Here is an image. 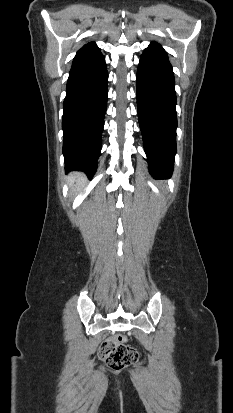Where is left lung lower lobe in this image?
Returning <instances> with one entry per match:
<instances>
[{"label":"left lung lower lobe","instance_id":"obj_1","mask_svg":"<svg viewBox=\"0 0 233 413\" xmlns=\"http://www.w3.org/2000/svg\"><path fill=\"white\" fill-rule=\"evenodd\" d=\"M137 108L149 170L152 176H170L176 153V93L166 51L152 42L137 70Z\"/></svg>","mask_w":233,"mask_h":413}]
</instances>
